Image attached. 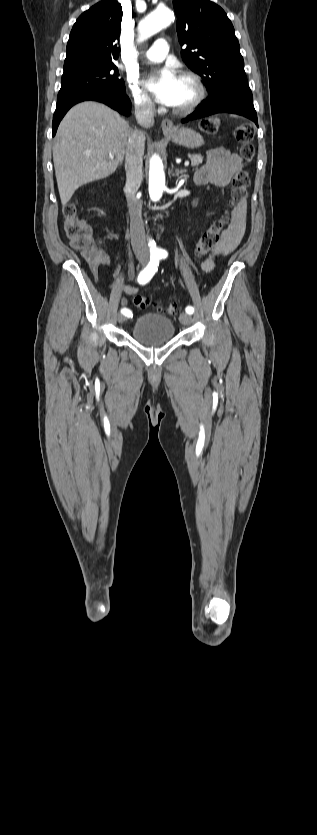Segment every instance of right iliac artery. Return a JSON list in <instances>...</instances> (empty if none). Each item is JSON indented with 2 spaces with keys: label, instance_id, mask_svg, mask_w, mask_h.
<instances>
[{
  "label": "right iliac artery",
  "instance_id": "1",
  "mask_svg": "<svg viewBox=\"0 0 317 835\" xmlns=\"http://www.w3.org/2000/svg\"><path fill=\"white\" fill-rule=\"evenodd\" d=\"M158 265L159 259L157 257H151L148 265L139 273L138 282L142 285L148 283L157 272ZM121 313L124 314V316L132 317V312L127 308H122Z\"/></svg>",
  "mask_w": 317,
  "mask_h": 835
}]
</instances>
